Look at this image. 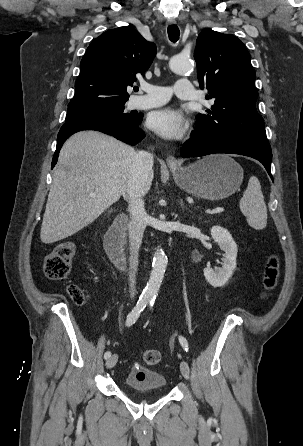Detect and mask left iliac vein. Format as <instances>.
Instances as JSON below:
<instances>
[{"instance_id":"4c4485c4","label":"left iliac vein","mask_w":303,"mask_h":446,"mask_svg":"<svg viewBox=\"0 0 303 446\" xmlns=\"http://www.w3.org/2000/svg\"><path fill=\"white\" fill-rule=\"evenodd\" d=\"M180 370L182 375L184 376L185 379H189V375H190V368L189 365L186 361H181L180 363Z\"/></svg>"}]
</instances>
